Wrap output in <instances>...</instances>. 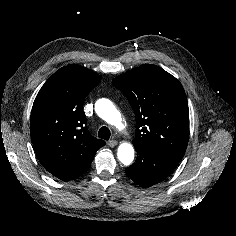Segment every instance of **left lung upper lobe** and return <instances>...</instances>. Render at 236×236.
<instances>
[{
    "label": "left lung upper lobe",
    "mask_w": 236,
    "mask_h": 236,
    "mask_svg": "<svg viewBox=\"0 0 236 236\" xmlns=\"http://www.w3.org/2000/svg\"><path fill=\"white\" fill-rule=\"evenodd\" d=\"M112 83L135 112V147L182 159L189 139V111L179 80L156 65L144 64Z\"/></svg>",
    "instance_id": "obj_1"
}]
</instances>
